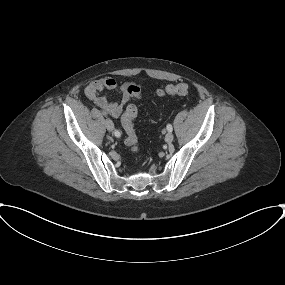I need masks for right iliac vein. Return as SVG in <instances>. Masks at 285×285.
<instances>
[{
  "label": "right iliac vein",
  "instance_id": "63e3f726",
  "mask_svg": "<svg viewBox=\"0 0 285 285\" xmlns=\"http://www.w3.org/2000/svg\"><path fill=\"white\" fill-rule=\"evenodd\" d=\"M105 126H106V129L108 131H113L114 130V124H113L112 120H110V119H106Z\"/></svg>",
  "mask_w": 285,
  "mask_h": 285
}]
</instances>
